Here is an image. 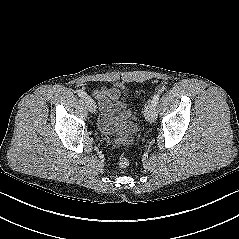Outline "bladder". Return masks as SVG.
<instances>
[{"label": "bladder", "instance_id": "1", "mask_svg": "<svg viewBox=\"0 0 239 239\" xmlns=\"http://www.w3.org/2000/svg\"><path fill=\"white\" fill-rule=\"evenodd\" d=\"M133 130L135 131L136 130V126H135V124H134V122H133Z\"/></svg>", "mask_w": 239, "mask_h": 239}]
</instances>
